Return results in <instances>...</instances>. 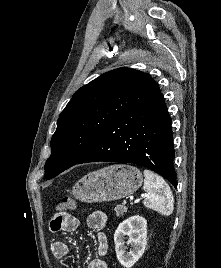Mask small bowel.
I'll return each mask as SVG.
<instances>
[{
	"mask_svg": "<svg viewBox=\"0 0 221 268\" xmlns=\"http://www.w3.org/2000/svg\"><path fill=\"white\" fill-rule=\"evenodd\" d=\"M87 226L92 230H99L107 222V216L102 211H94L87 218ZM78 220L68 214H54L50 220V230L52 232H69L78 227ZM97 252L98 257L91 260L87 268H108L107 262L103 258L108 250L107 236L103 232L96 234ZM51 251L55 258L62 259L66 257L70 251V247L67 243L62 241H56L51 245Z\"/></svg>",
	"mask_w": 221,
	"mask_h": 268,
	"instance_id": "1",
	"label": "small bowel"
}]
</instances>
